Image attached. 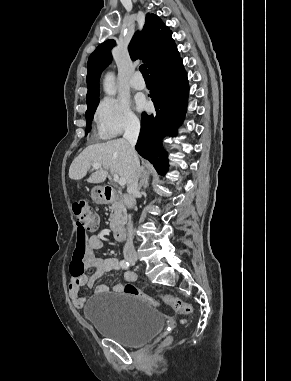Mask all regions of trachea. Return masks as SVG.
Segmentation results:
<instances>
[{
	"label": "trachea",
	"mask_w": 291,
	"mask_h": 381,
	"mask_svg": "<svg viewBox=\"0 0 291 381\" xmlns=\"http://www.w3.org/2000/svg\"><path fill=\"white\" fill-rule=\"evenodd\" d=\"M139 69L144 78H149V72L145 64L141 65Z\"/></svg>",
	"instance_id": "obj_1"
}]
</instances>
